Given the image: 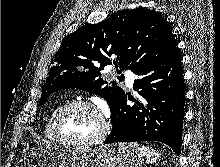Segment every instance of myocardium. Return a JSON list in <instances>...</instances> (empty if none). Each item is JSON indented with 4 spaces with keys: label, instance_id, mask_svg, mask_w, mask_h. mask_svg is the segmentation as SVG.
Masks as SVG:
<instances>
[{
    "label": "myocardium",
    "instance_id": "obj_1",
    "mask_svg": "<svg viewBox=\"0 0 220 167\" xmlns=\"http://www.w3.org/2000/svg\"><path fill=\"white\" fill-rule=\"evenodd\" d=\"M74 106H83L89 108L99 116L101 126L99 132L93 138L85 140H71L66 139L61 135L59 130V120L67 110ZM110 127V120L107 113L95 103L84 99H75L64 103L56 110L52 119V132L56 141L60 144L72 147H91L101 144L108 137L110 133Z\"/></svg>",
    "mask_w": 220,
    "mask_h": 167
}]
</instances>
